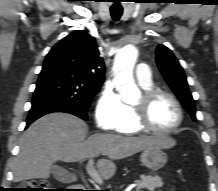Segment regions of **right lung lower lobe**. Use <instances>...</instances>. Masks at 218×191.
Listing matches in <instances>:
<instances>
[{"label": "right lung lower lobe", "mask_w": 218, "mask_h": 191, "mask_svg": "<svg viewBox=\"0 0 218 191\" xmlns=\"http://www.w3.org/2000/svg\"><path fill=\"white\" fill-rule=\"evenodd\" d=\"M52 112H65L78 116L84 120L87 119L86 111L81 110L78 107L63 103L59 100L43 99L32 103V107L26 121V127H28L32 122H34L41 116Z\"/></svg>", "instance_id": "98d812e1"}]
</instances>
